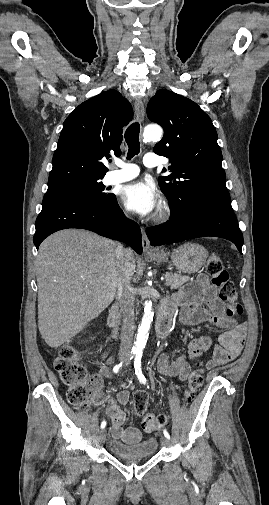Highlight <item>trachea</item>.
Wrapping results in <instances>:
<instances>
[{
  "label": "trachea",
  "instance_id": "obj_1",
  "mask_svg": "<svg viewBox=\"0 0 269 505\" xmlns=\"http://www.w3.org/2000/svg\"><path fill=\"white\" fill-rule=\"evenodd\" d=\"M139 133H140V125L138 122L132 123L126 129L124 137L129 147L127 159H131L140 152Z\"/></svg>",
  "mask_w": 269,
  "mask_h": 505
}]
</instances>
